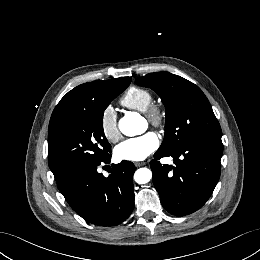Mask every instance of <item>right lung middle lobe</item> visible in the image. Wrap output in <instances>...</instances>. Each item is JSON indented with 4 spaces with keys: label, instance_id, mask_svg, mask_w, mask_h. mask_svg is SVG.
Listing matches in <instances>:
<instances>
[{
    "label": "right lung middle lobe",
    "instance_id": "right-lung-middle-lobe-1",
    "mask_svg": "<svg viewBox=\"0 0 260 260\" xmlns=\"http://www.w3.org/2000/svg\"><path fill=\"white\" fill-rule=\"evenodd\" d=\"M126 88L97 92L71 119L56 128L50 138L52 159L59 176L90 165L111 154L103 131V114L110 102Z\"/></svg>",
    "mask_w": 260,
    "mask_h": 260
}]
</instances>
